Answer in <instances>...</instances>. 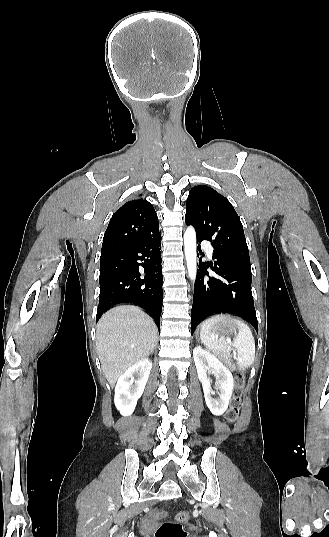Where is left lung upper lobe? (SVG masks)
Returning <instances> with one entry per match:
<instances>
[{
  "label": "left lung upper lobe",
  "mask_w": 329,
  "mask_h": 537,
  "mask_svg": "<svg viewBox=\"0 0 329 537\" xmlns=\"http://www.w3.org/2000/svg\"><path fill=\"white\" fill-rule=\"evenodd\" d=\"M185 222L198 240H208L214 251L250 265L242 223L230 202L214 189L194 186L187 198Z\"/></svg>",
  "instance_id": "left-lung-upper-lobe-1"
}]
</instances>
